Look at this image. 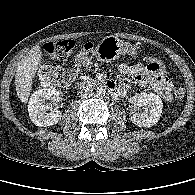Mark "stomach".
Masks as SVG:
<instances>
[{"instance_id": "0dacf381", "label": "stomach", "mask_w": 195, "mask_h": 195, "mask_svg": "<svg viewBox=\"0 0 195 195\" xmlns=\"http://www.w3.org/2000/svg\"><path fill=\"white\" fill-rule=\"evenodd\" d=\"M136 48L125 43L115 36H107L95 48V55L99 61L113 62L119 59L121 54L136 56Z\"/></svg>"}]
</instances>
